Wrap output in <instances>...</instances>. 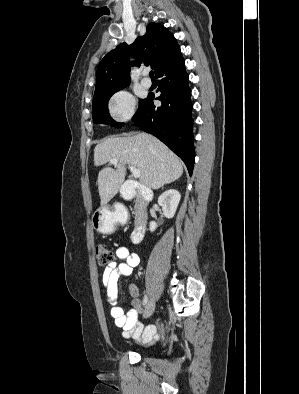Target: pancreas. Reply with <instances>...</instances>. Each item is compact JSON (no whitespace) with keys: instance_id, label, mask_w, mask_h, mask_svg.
<instances>
[{"instance_id":"pancreas-1","label":"pancreas","mask_w":299,"mask_h":394,"mask_svg":"<svg viewBox=\"0 0 299 394\" xmlns=\"http://www.w3.org/2000/svg\"><path fill=\"white\" fill-rule=\"evenodd\" d=\"M135 208H136L135 214L137 215V213H138V211H137V204L135 205Z\"/></svg>"}]
</instances>
